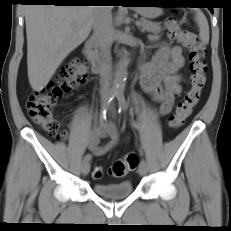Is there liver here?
<instances>
[{
  "mask_svg": "<svg viewBox=\"0 0 231 231\" xmlns=\"http://www.w3.org/2000/svg\"><path fill=\"white\" fill-rule=\"evenodd\" d=\"M95 6L24 7L27 68L34 91L47 86L63 60L89 36Z\"/></svg>",
  "mask_w": 231,
  "mask_h": 231,
  "instance_id": "obj_1",
  "label": "liver"
}]
</instances>
